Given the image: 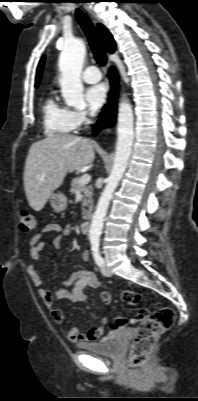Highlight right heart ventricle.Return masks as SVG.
<instances>
[{"label": "right heart ventricle", "mask_w": 198, "mask_h": 401, "mask_svg": "<svg viewBox=\"0 0 198 401\" xmlns=\"http://www.w3.org/2000/svg\"><path fill=\"white\" fill-rule=\"evenodd\" d=\"M41 111L43 126L49 136H64L74 131L71 110L59 103L53 92L43 100Z\"/></svg>", "instance_id": "1"}]
</instances>
